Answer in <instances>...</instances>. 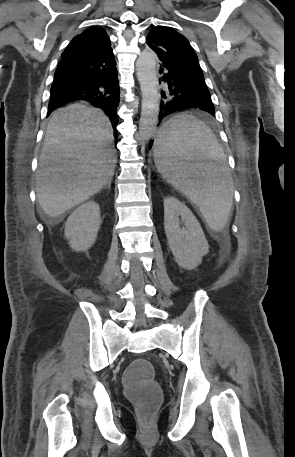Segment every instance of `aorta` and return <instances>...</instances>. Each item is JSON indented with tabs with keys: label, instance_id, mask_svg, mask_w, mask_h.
<instances>
[{
	"label": "aorta",
	"instance_id": "762f6f07",
	"mask_svg": "<svg viewBox=\"0 0 295 457\" xmlns=\"http://www.w3.org/2000/svg\"><path fill=\"white\" fill-rule=\"evenodd\" d=\"M136 73L142 94L139 136L146 141L153 136L159 117L160 100L154 52L147 49L142 51L136 61Z\"/></svg>",
	"mask_w": 295,
	"mask_h": 457
}]
</instances>
